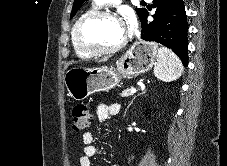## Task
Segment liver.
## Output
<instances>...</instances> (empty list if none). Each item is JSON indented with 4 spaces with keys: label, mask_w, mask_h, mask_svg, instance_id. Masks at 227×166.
Instances as JSON below:
<instances>
[{
    "label": "liver",
    "mask_w": 227,
    "mask_h": 166,
    "mask_svg": "<svg viewBox=\"0 0 227 166\" xmlns=\"http://www.w3.org/2000/svg\"><path fill=\"white\" fill-rule=\"evenodd\" d=\"M107 59H104V60H101V62H104V61H106Z\"/></svg>",
    "instance_id": "obj_1"
}]
</instances>
